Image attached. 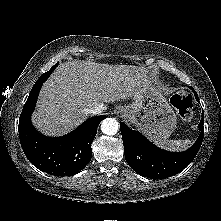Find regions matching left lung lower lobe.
Masks as SVG:
<instances>
[{"label": "left lung lower lobe", "mask_w": 221, "mask_h": 221, "mask_svg": "<svg viewBox=\"0 0 221 221\" xmlns=\"http://www.w3.org/2000/svg\"><path fill=\"white\" fill-rule=\"evenodd\" d=\"M195 98L198 101L196 91ZM204 114L199 123L200 136L187 151L173 153L164 151L149 142L140 132L131 130L123 122L120 130L124 144V154L129 166L138 174L154 179L173 176L185 169L195 158L204 137Z\"/></svg>", "instance_id": "0a47b994"}]
</instances>
